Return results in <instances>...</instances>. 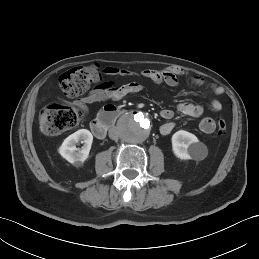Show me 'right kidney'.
<instances>
[{
	"instance_id": "1",
	"label": "right kidney",
	"mask_w": 259,
	"mask_h": 259,
	"mask_svg": "<svg viewBox=\"0 0 259 259\" xmlns=\"http://www.w3.org/2000/svg\"><path fill=\"white\" fill-rule=\"evenodd\" d=\"M81 141V149L76 148V143ZM93 136L87 129H80L68 136L58 149L60 155L68 162L80 166L89 156Z\"/></svg>"
}]
</instances>
